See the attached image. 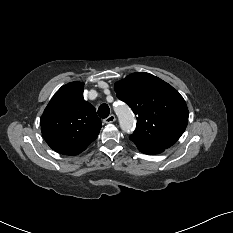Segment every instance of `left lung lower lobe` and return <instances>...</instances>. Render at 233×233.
Instances as JSON below:
<instances>
[{
    "instance_id": "1",
    "label": "left lung lower lobe",
    "mask_w": 233,
    "mask_h": 233,
    "mask_svg": "<svg viewBox=\"0 0 233 233\" xmlns=\"http://www.w3.org/2000/svg\"><path fill=\"white\" fill-rule=\"evenodd\" d=\"M138 149L145 154H159L164 151L163 148L157 147H138Z\"/></svg>"
}]
</instances>
